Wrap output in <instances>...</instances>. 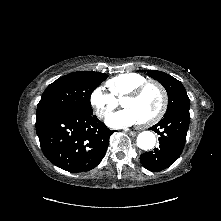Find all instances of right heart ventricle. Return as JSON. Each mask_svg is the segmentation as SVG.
Instances as JSON below:
<instances>
[{
	"mask_svg": "<svg viewBox=\"0 0 221 221\" xmlns=\"http://www.w3.org/2000/svg\"><path fill=\"white\" fill-rule=\"evenodd\" d=\"M145 81L146 77L138 73H124L109 79L106 87L115 100H120Z\"/></svg>",
	"mask_w": 221,
	"mask_h": 221,
	"instance_id": "right-heart-ventricle-1",
	"label": "right heart ventricle"
}]
</instances>
